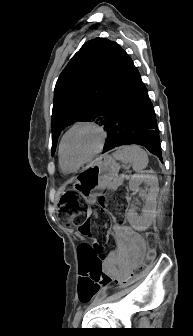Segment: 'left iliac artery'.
I'll return each mask as SVG.
<instances>
[{"mask_svg": "<svg viewBox=\"0 0 193 336\" xmlns=\"http://www.w3.org/2000/svg\"><path fill=\"white\" fill-rule=\"evenodd\" d=\"M82 315V310L78 309L77 313L75 314L74 320H73V325H77L80 321Z\"/></svg>", "mask_w": 193, "mask_h": 336, "instance_id": "obj_1", "label": "left iliac artery"}]
</instances>
